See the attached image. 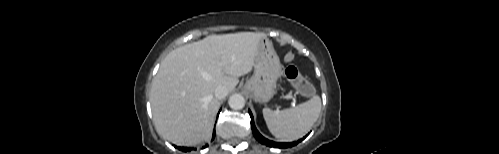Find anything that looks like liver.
Returning <instances> with one entry per match:
<instances>
[{
  "label": "liver",
  "instance_id": "obj_1",
  "mask_svg": "<svg viewBox=\"0 0 499 154\" xmlns=\"http://www.w3.org/2000/svg\"><path fill=\"white\" fill-rule=\"evenodd\" d=\"M264 33L211 35L171 51L152 82L151 108L158 132L180 146L211 138L220 107L218 85L234 90L251 72Z\"/></svg>",
  "mask_w": 499,
  "mask_h": 154
}]
</instances>
